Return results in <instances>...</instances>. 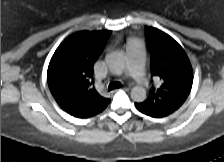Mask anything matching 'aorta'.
<instances>
[{
    "label": "aorta",
    "mask_w": 224,
    "mask_h": 162,
    "mask_svg": "<svg viewBox=\"0 0 224 162\" xmlns=\"http://www.w3.org/2000/svg\"><path fill=\"white\" fill-rule=\"evenodd\" d=\"M106 63L109 70L115 75H121L124 70V55L114 52L107 56ZM131 98L135 102H143L146 99V90L141 86H135L130 92Z\"/></svg>",
    "instance_id": "aorta-1"
}]
</instances>
